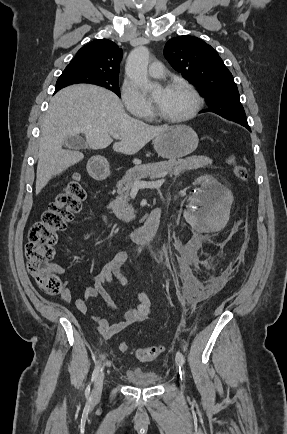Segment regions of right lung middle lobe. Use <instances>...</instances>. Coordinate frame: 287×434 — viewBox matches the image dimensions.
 Segmentation results:
<instances>
[{
	"instance_id": "obj_1",
	"label": "right lung middle lobe",
	"mask_w": 287,
	"mask_h": 434,
	"mask_svg": "<svg viewBox=\"0 0 287 434\" xmlns=\"http://www.w3.org/2000/svg\"><path fill=\"white\" fill-rule=\"evenodd\" d=\"M77 83L95 84L113 91L120 97L118 77L91 76L89 74L71 69H65L63 71L57 80L56 87L63 88L65 86Z\"/></svg>"
}]
</instances>
